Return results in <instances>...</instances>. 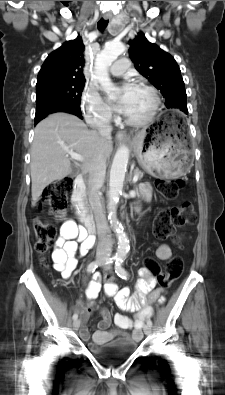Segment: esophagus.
I'll list each match as a JSON object with an SVG mask.
<instances>
[{
    "mask_svg": "<svg viewBox=\"0 0 225 395\" xmlns=\"http://www.w3.org/2000/svg\"><path fill=\"white\" fill-rule=\"evenodd\" d=\"M103 17H104L105 20H108V19L112 18V14L105 13L103 15ZM116 139H118V140H125V139H128V135H127V133L125 131H118L116 133Z\"/></svg>",
    "mask_w": 225,
    "mask_h": 395,
    "instance_id": "obj_1",
    "label": "esophagus"
}]
</instances>
